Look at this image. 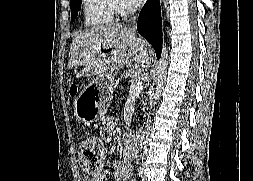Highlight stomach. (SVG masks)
Wrapping results in <instances>:
<instances>
[{
  "mask_svg": "<svg viewBox=\"0 0 253 181\" xmlns=\"http://www.w3.org/2000/svg\"><path fill=\"white\" fill-rule=\"evenodd\" d=\"M115 87V74L94 78L86 88L85 95L81 94L75 101L76 116L85 122L99 120L110 105Z\"/></svg>",
  "mask_w": 253,
  "mask_h": 181,
  "instance_id": "1",
  "label": "stomach"
}]
</instances>
